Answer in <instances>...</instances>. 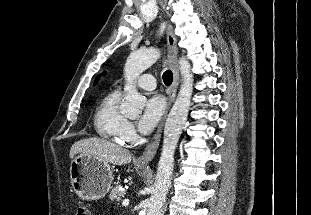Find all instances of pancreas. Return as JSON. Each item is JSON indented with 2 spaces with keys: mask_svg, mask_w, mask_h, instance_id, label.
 Segmentation results:
<instances>
[{
  "mask_svg": "<svg viewBox=\"0 0 311 215\" xmlns=\"http://www.w3.org/2000/svg\"><path fill=\"white\" fill-rule=\"evenodd\" d=\"M120 188H121V186L117 185L110 192L109 198L112 202H114V204L118 203L121 200V198L124 197L126 194L125 191L120 190Z\"/></svg>",
  "mask_w": 311,
  "mask_h": 215,
  "instance_id": "obj_1",
  "label": "pancreas"
}]
</instances>
